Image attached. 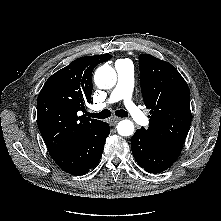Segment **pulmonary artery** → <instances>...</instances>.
I'll return each instance as SVG.
<instances>
[{
  "instance_id": "1",
  "label": "pulmonary artery",
  "mask_w": 221,
  "mask_h": 221,
  "mask_svg": "<svg viewBox=\"0 0 221 221\" xmlns=\"http://www.w3.org/2000/svg\"><path fill=\"white\" fill-rule=\"evenodd\" d=\"M117 71V84L110 97L101 103L94 105L95 110H102L109 104L122 100L131 118L140 125H148L147 115L134 103L132 99L134 71L129 61L118 62L115 65Z\"/></svg>"
}]
</instances>
